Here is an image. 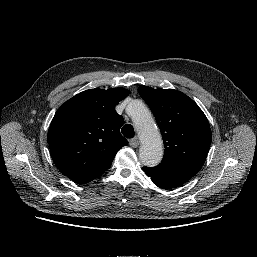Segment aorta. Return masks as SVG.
I'll return each mask as SVG.
<instances>
[{
    "label": "aorta",
    "mask_w": 257,
    "mask_h": 257,
    "mask_svg": "<svg viewBox=\"0 0 257 257\" xmlns=\"http://www.w3.org/2000/svg\"><path fill=\"white\" fill-rule=\"evenodd\" d=\"M128 114L133 118L141 138L139 158L143 165L154 167L163 157V147L156 124L144 104L134 100L127 106Z\"/></svg>",
    "instance_id": "obj_1"
}]
</instances>
